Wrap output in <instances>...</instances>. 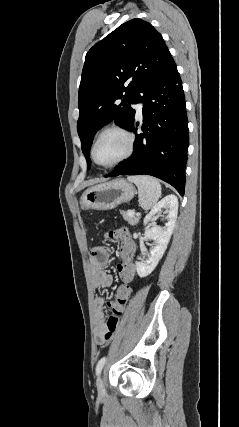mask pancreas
<instances>
[{
    "label": "pancreas",
    "mask_w": 239,
    "mask_h": 427,
    "mask_svg": "<svg viewBox=\"0 0 239 427\" xmlns=\"http://www.w3.org/2000/svg\"><path fill=\"white\" fill-rule=\"evenodd\" d=\"M120 213L122 214L123 219L125 221H127L132 226L138 224V222L140 220V216H138V215L129 216L128 212H125V211H120Z\"/></svg>",
    "instance_id": "1"
}]
</instances>
